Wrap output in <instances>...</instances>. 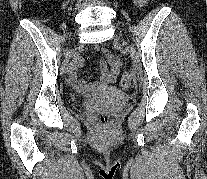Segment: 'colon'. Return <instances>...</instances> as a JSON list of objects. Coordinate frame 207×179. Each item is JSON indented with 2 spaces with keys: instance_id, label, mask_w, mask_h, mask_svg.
Segmentation results:
<instances>
[{
  "instance_id": "5ec220e1",
  "label": "colon",
  "mask_w": 207,
  "mask_h": 179,
  "mask_svg": "<svg viewBox=\"0 0 207 179\" xmlns=\"http://www.w3.org/2000/svg\"><path fill=\"white\" fill-rule=\"evenodd\" d=\"M132 80H133V73L125 72L121 79V83H120L121 88L125 91L128 90L132 85ZM96 120L99 124H107L111 122L112 116L109 113L98 112L96 114Z\"/></svg>"
}]
</instances>
